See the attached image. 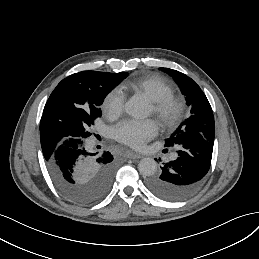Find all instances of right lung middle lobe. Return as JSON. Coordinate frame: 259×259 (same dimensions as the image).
<instances>
[{"instance_id": "right-lung-middle-lobe-1", "label": "right lung middle lobe", "mask_w": 259, "mask_h": 259, "mask_svg": "<svg viewBox=\"0 0 259 259\" xmlns=\"http://www.w3.org/2000/svg\"><path fill=\"white\" fill-rule=\"evenodd\" d=\"M127 75L124 72L111 73L90 87L86 94V103L75 111L72 118L62 123L60 129L62 143H78L92 135L90 129L94 121L101 117L100 105L104 98Z\"/></svg>"}]
</instances>
